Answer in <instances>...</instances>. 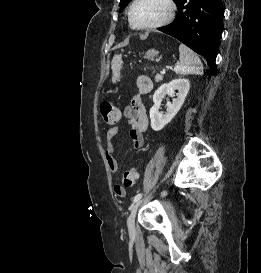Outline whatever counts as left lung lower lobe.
Here are the masks:
<instances>
[{"instance_id":"1","label":"left lung lower lobe","mask_w":261,"mask_h":273,"mask_svg":"<svg viewBox=\"0 0 261 273\" xmlns=\"http://www.w3.org/2000/svg\"><path fill=\"white\" fill-rule=\"evenodd\" d=\"M175 21L159 28L204 56L214 68L223 22L222 0H178Z\"/></svg>"}]
</instances>
